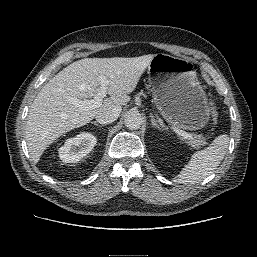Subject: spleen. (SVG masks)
<instances>
[{"instance_id": "obj_1", "label": "spleen", "mask_w": 257, "mask_h": 257, "mask_svg": "<svg viewBox=\"0 0 257 257\" xmlns=\"http://www.w3.org/2000/svg\"><path fill=\"white\" fill-rule=\"evenodd\" d=\"M228 145V135L216 137L206 149L197 151L191 156L189 163L173 178V182L193 183L210 175L224 159Z\"/></svg>"}]
</instances>
